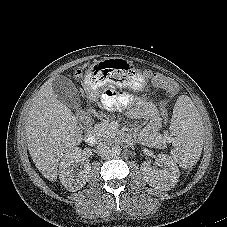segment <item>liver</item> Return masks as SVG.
<instances>
[{"label": "liver", "instance_id": "obj_1", "mask_svg": "<svg viewBox=\"0 0 227 227\" xmlns=\"http://www.w3.org/2000/svg\"><path fill=\"white\" fill-rule=\"evenodd\" d=\"M54 79L47 80L34 97L25 125L30 156L51 182L57 180L58 165L64 154L82 141L77 117L53 92Z\"/></svg>", "mask_w": 227, "mask_h": 227}]
</instances>
